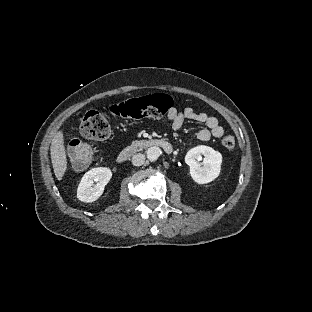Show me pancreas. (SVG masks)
<instances>
[{
    "instance_id": "cf45deb5",
    "label": "pancreas",
    "mask_w": 312,
    "mask_h": 312,
    "mask_svg": "<svg viewBox=\"0 0 312 312\" xmlns=\"http://www.w3.org/2000/svg\"><path fill=\"white\" fill-rule=\"evenodd\" d=\"M148 145V141L146 140H141V141H133L131 144V148L137 152V151H141L144 147H146Z\"/></svg>"
}]
</instances>
